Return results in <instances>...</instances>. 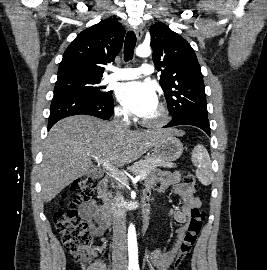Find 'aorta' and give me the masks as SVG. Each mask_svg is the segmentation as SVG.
Masks as SVG:
<instances>
[{
  "mask_svg": "<svg viewBox=\"0 0 267 270\" xmlns=\"http://www.w3.org/2000/svg\"><path fill=\"white\" fill-rule=\"evenodd\" d=\"M151 54V49L148 45H139L136 49V55L139 57H148ZM128 252L129 262H137L138 260V248L136 231L133 224H130L128 228Z\"/></svg>",
  "mask_w": 267,
  "mask_h": 270,
  "instance_id": "1",
  "label": "aorta"
}]
</instances>
